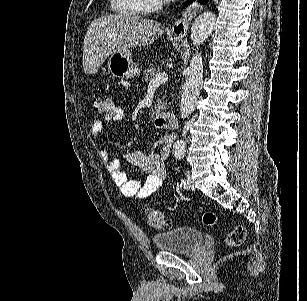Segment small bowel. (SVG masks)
Segmentation results:
<instances>
[{
  "mask_svg": "<svg viewBox=\"0 0 307 301\" xmlns=\"http://www.w3.org/2000/svg\"><path fill=\"white\" fill-rule=\"evenodd\" d=\"M123 117L124 111L121 108L115 107L111 109L103 119H96L92 122L90 137L92 139L99 138L105 123L120 121ZM169 147V140L161 139L155 143L150 154L142 151H132L125 155L126 160L130 164L147 174L144 180L130 178L108 152L101 150L99 156L110 173L113 182L124 196L144 199L151 196L164 184L166 177L165 160L169 153Z\"/></svg>",
  "mask_w": 307,
  "mask_h": 301,
  "instance_id": "obj_1",
  "label": "small bowel"
}]
</instances>
